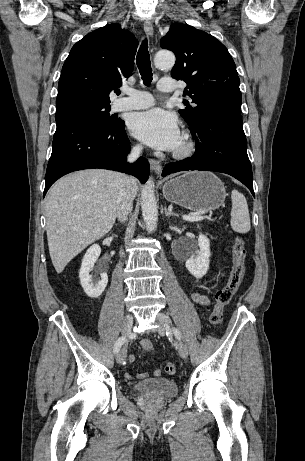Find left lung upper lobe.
<instances>
[{
  "instance_id": "5c2ea615",
  "label": "left lung upper lobe",
  "mask_w": 305,
  "mask_h": 461,
  "mask_svg": "<svg viewBox=\"0 0 305 461\" xmlns=\"http://www.w3.org/2000/svg\"><path fill=\"white\" fill-rule=\"evenodd\" d=\"M160 45L176 55L172 77L187 83L185 94L195 104L185 103L179 113L195 126L213 110L241 107L240 80L227 48L212 35L196 28L174 23Z\"/></svg>"
}]
</instances>
